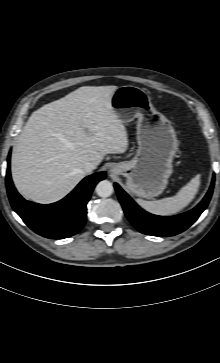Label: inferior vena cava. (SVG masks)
<instances>
[{"label":"inferior vena cava","instance_id":"602c4592","mask_svg":"<svg viewBox=\"0 0 220 363\" xmlns=\"http://www.w3.org/2000/svg\"><path fill=\"white\" fill-rule=\"evenodd\" d=\"M96 168V165L93 162H86L83 166V171L85 173H90Z\"/></svg>","mask_w":220,"mask_h":363}]
</instances>
